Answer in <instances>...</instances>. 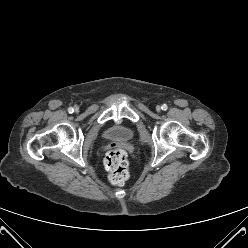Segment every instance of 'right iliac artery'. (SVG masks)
<instances>
[{
    "label": "right iliac artery",
    "mask_w": 248,
    "mask_h": 248,
    "mask_svg": "<svg viewBox=\"0 0 248 248\" xmlns=\"http://www.w3.org/2000/svg\"><path fill=\"white\" fill-rule=\"evenodd\" d=\"M68 112L71 114L74 112V109L72 107L68 108Z\"/></svg>",
    "instance_id": "82829eb1"
}]
</instances>
